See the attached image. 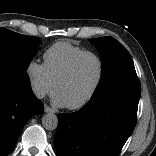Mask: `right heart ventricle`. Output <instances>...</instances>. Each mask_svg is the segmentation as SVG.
Segmentation results:
<instances>
[{"mask_svg": "<svg viewBox=\"0 0 156 156\" xmlns=\"http://www.w3.org/2000/svg\"><path fill=\"white\" fill-rule=\"evenodd\" d=\"M84 51L86 49L66 41L50 46L44 53V65L51 79L56 82L72 59Z\"/></svg>", "mask_w": 156, "mask_h": 156, "instance_id": "1", "label": "right heart ventricle"}]
</instances>
